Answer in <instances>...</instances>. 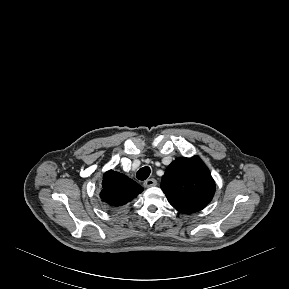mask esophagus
Here are the masks:
<instances>
[{
    "label": "esophagus",
    "instance_id": "34e87169",
    "mask_svg": "<svg viewBox=\"0 0 289 289\" xmlns=\"http://www.w3.org/2000/svg\"><path fill=\"white\" fill-rule=\"evenodd\" d=\"M156 184H157V181L153 178H149V179L144 181L145 187H152V186H155Z\"/></svg>",
    "mask_w": 289,
    "mask_h": 289
}]
</instances>
